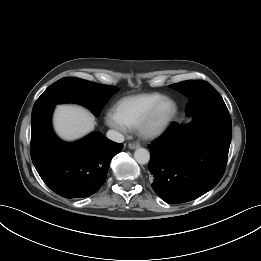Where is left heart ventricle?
Instances as JSON below:
<instances>
[{
	"instance_id": "obj_1",
	"label": "left heart ventricle",
	"mask_w": 261,
	"mask_h": 261,
	"mask_svg": "<svg viewBox=\"0 0 261 261\" xmlns=\"http://www.w3.org/2000/svg\"><path fill=\"white\" fill-rule=\"evenodd\" d=\"M170 109V105L166 104L162 110H161V115L165 114L168 110Z\"/></svg>"
}]
</instances>
